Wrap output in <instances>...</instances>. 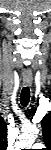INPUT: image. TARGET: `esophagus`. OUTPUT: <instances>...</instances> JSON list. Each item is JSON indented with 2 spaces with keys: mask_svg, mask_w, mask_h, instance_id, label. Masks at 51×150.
Wrapping results in <instances>:
<instances>
[{
  "mask_svg": "<svg viewBox=\"0 0 51 150\" xmlns=\"http://www.w3.org/2000/svg\"><path fill=\"white\" fill-rule=\"evenodd\" d=\"M31 80L30 79H24L23 80V84L25 85V86H31Z\"/></svg>",
  "mask_w": 51,
  "mask_h": 150,
  "instance_id": "34e87169",
  "label": "esophagus"
}]
</instances>
